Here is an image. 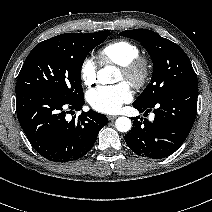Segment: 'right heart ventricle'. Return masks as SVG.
<instances>
[{
  "instance_id": "obj_1",
  "label": "right heart ventricle",
  "mask_w": 212,
  "mask_h": 212,
  "mask_svg": "<svg viewBox=\"0 0 212 212\" xmlns=\"http://www.w3.org/2000/svg\"><path fill=\"white\" fill-rule=\"evenodd\" d=\"M139 55L138 47L130 41L119 39L104 45L98 52L103 64L125 65Z\"/></svg>"
}]
</instances>
